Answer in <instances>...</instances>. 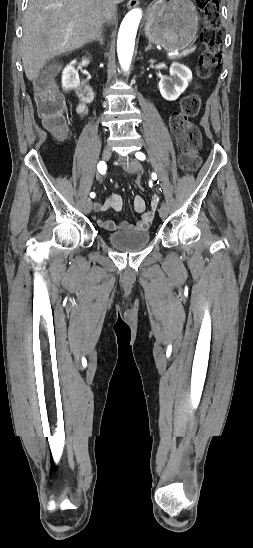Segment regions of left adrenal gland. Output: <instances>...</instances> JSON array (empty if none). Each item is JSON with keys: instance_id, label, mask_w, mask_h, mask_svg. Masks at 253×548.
I'll use <instances>...</instances> for the list:
<instances>
[{"instance_id": "obj_1", "label": "left adrenal gland", "mask_w": 253, "mask_h": 548, "mask_svg": "<svg viewBox=\"0 0 253 548\" xmlns=\"http://www.w3.org/2000/svg\"><path fill=\"white\" fill-rule=\"evenodd\" d=\"M150 49H154V48L152 47L151 42L148 43V46L145 48V51H149Z\"/></svg>"}]
</instances>
